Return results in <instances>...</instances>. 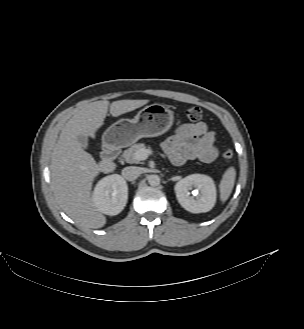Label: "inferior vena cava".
<instances>
[{
  "mask_svg": "<svg viewBox=\"0 0 304 329\" xmlns=\"http://www.w3.org/2000/svg\"><path fill=\"white\" fill-rule=\"evenodd\" d=\"M140 174L139 168L135 167V166H129V167H125L122 170V177L125 180L128 181H133L135 180Z\"/></svg>",
  "mask_w": 304,
  "mask_h": 329,
  "instance_id": "1",
  "label": "inferior vena cava"
}]
</instances>
